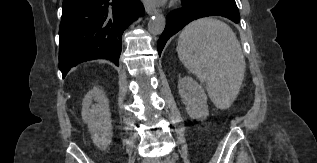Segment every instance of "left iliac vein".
I'll list each match as a JSON object with an SVG mask.
<instances>
[{
  "instance_id": "obj_1",
  "label": "left iliac vein",
  "mask_w": 317,
  "mask_h": 163,
  "mask_svg": "<svg viewBox=\"0 0 317 163\" xmlns=\"http://www.w3.org/2000/svg\"><path fill=\"white\" fill-rule=\"evenodd\" d=\"M157 163H160V162H157ZM168 163H172V161H168Z\"/></svg>"
}]
</instances>
